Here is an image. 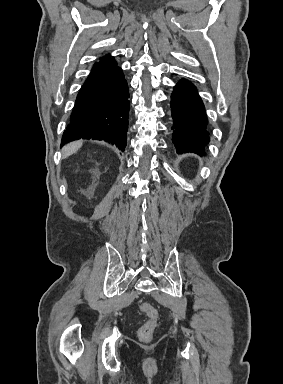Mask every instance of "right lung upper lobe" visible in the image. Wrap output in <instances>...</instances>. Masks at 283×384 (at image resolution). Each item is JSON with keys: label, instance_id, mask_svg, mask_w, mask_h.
Instances as JSON below:
<instances>
[{"label": "right lung upper lobe", "instance_id": "cb5924a9", "mask_svg": "<svg viewBox=\"0 0 283 384\" xmlns=\"http://www.w3.org/2000/svg\"><path fill=\"white\" fill-rule=\"evenodd\" d=\"M114 64H116V61L113 58H111L110 55H106V56L100 58L99 62H96L94 64L92 70L104 68V67L111 66Z\"/></svg>", "mask_w": 283, "mask_h": 384}]
</instances>
